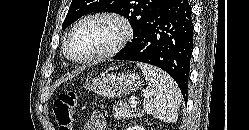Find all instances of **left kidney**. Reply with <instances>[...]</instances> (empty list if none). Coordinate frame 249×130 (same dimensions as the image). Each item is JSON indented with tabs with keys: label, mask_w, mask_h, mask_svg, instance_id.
Masks as SVG:
<instances>
[{
	"label": "left kidney",
	"mask_w": 249,
	"mask_h": 130,
	"mask_svg": "<svg viewBox=\"0 0 249 130\" xmlns=\"http://www.w3.org/2000/svg\"><path fill=\"white\" fill-rule=\"evenodd\" d=\"M127 130H144L141 126H131Z\"/></svg>",
	"instance_id": "obj_1"
}]
</instances>
